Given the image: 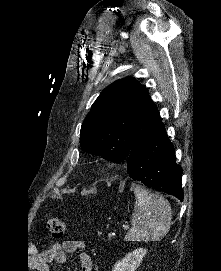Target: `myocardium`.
Segmentation results:
<instances>
[{"label": "myocardium", "mask_w": 221, "mask_h": 271, "mask_svg": "<svg viewBox=\"0 0 221 271\" xmlns=\"http://www.w3.org/2000/svg\"><path fill=\"white\" fill-rule=\"evenodd\" d=\"M107 171H110V172H115V171H117V170H107Z\"/></svg>", "instance_id": "myocardium-1"}]
</instances>
